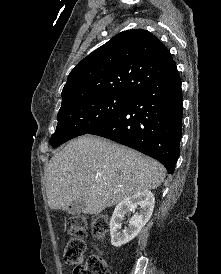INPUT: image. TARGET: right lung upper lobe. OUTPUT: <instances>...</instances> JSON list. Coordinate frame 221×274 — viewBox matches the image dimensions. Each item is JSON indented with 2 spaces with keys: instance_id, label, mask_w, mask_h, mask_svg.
<instances>
[{
  "instance_id": "right-lung-upper-lobe-1",
  "label": "right lung upper lobe",
  "mask_w": 221,
  "mask_h": 274,
  "mask_svg": "<svg viewBox=\"0 0 221 274\" xmlns=\"http://www.w3.org/2000/svg\"><path fill=\"white\" fill-rule=\"evenodd\" d=\"M176 66L165 45L147 30L123 31L70 72L62 103L101 95H135Z\"/></svg>"
}]
</instances>
